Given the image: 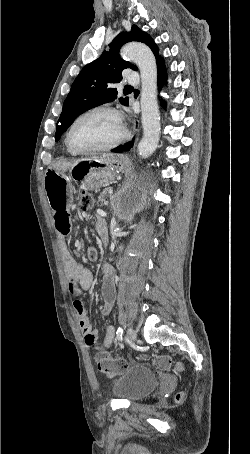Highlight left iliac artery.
I'll return each instance as SVG.
<instances>
[{"mask_svg":"<svg viewBox=\"0 0 250 454\" xmlns=\"http://www.w3.org/2000/svg\"><path fill=\"white\" fill-rule=\"evenodd\" d=\"M116 334H117V338H118L119 340H122L123 329H122L121 327H119V328L117 329Z\"/></svg>","mask_w":250,"mask_h":454,"instance_id":"1","label":"left iliac artery"}]
</instances>
